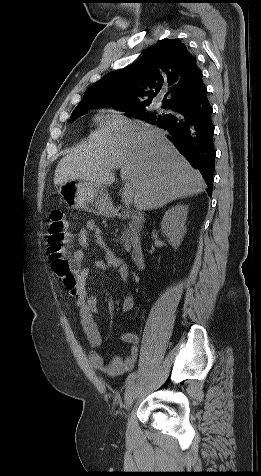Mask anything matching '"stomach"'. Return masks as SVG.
Segmentation results:
<instances>
[{"instance_id": "1", "label": "stomach", "mask_w": 261, "mask_h": 476, "mask_svg": "<svg viewBox=\"0 0 261 476\" xmlns=\"http://www.w3.org/2000/svg\"><path fill=\"white\" fill-rule=\"evenodd\" d=\"M60 194L73 209L109 216L113 206L105 187H97L84 180H69L60 186Z\"/></svg>"}]
</instances>
